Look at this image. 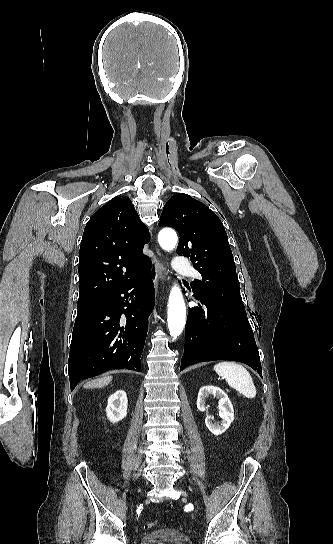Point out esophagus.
I'll return each mask as SVG.
<instances>
[{"label": "esophagus", "instance_id": "34e87169", "mask_svg": "<svg viewBox=\"0 0 333 544\" xmlns=\"http://www.w3.org/2000/svg\"><path fill=\"white\" fill-rule=\"evenodd\" d=\"M165 266L160 258L155 255L152 260L151 277L154 283L156 295L158 293L159 282L164 279Z\"/></svg>", "mask_w": 333, "mask_h": 544}]
</instances>
